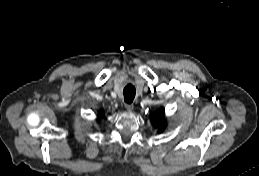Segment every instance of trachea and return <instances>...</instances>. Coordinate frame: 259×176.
Instances as JSON below:
<instances>
[{"label":"trachea","instance_id":"3493384b","mask_svg":"<svg viewBox=\"0 0 259 176\" xmlns=\"http://www.w3.org/2000/svg\"><path fill=\"white\" fill-rule=\"evenodd\" d=\"M124 101L128 104L132 103L136 94L135 87L132 84H128L124 90Z\"/></svg>","mask_w":259,"mask_h":176}]
</instances>
